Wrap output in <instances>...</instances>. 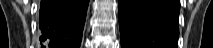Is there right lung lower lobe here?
Listing matches in <instances>:
<instances>
[{"label": "right lung lower lobe", "instance_id": "right-lung-lower-lobe-1", "mask_svg": "<svg viewBox=\"0 0 213 48\" xmlns=\"http://www.w3.org/2000/svg\"><path fill=\"white\" fill-rule=\"evenodd\" d=\"M88 2L89 0H42V47L79 48Z\"/></svg>", "mask_w": 213, "mask_h": 48}]
</instances>
